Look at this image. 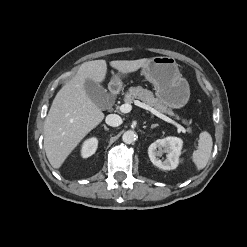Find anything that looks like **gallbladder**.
Segmentation results:
<instances>
[{
  "instance_id": "obj_1",
  "label": "gallbladder",
  "mask_w": 247,
  "mask_h": 247,
  "mask_svg": "<svg viewBox=\"0 0 247 247\" xmlns=\"http://www.w3.org/2000/svg\"><path fill=\"white\" fill-rule=\"evenodd\" d=\"M85 90L89 98L98 106L103 107L106 101L109 99V94L100 84L93 82L92 80H86Z\"/></svg>"
}]
</instances>
